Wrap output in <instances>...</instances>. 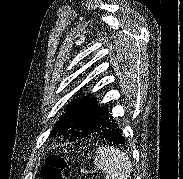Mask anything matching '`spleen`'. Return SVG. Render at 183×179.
<instances>
[{
    "instance_id": "spleen-1",
    "label": "spleen",
    "mask_w": 183,
    "mask_h": 179,
    "mask_svg": "<svg viewBox=\"0 0 183 179\" xmlns=\"http://www.w3.org/2000/svg\"><path fill=\"white\" fill-rule=\"evenodd\" d=\"M94 164L105 172V179H128L132 172L129 157L113 146H101Z\"/></svg>"
}]
</instances>
